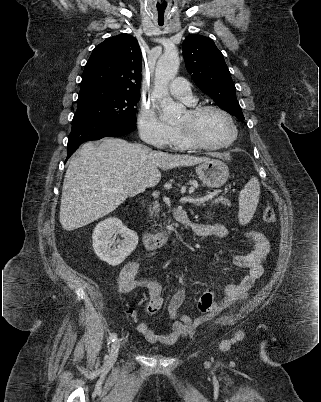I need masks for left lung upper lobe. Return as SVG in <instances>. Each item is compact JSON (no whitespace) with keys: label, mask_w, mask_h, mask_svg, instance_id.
<instances>
[{"label":"left lung upper lobe","mask_w":321,"mask_h":402,"mask_svg":"<svg viewBox=\"0 0 321 402\" xmlns=\"http://www.w3.org/2000/svg\"><path fill=\"white\" fill-rule=\"evenodd\" d=\"M186 68L197 86L217 105L236 116L245 118L236 98V88L222 53L213 40L191 34L182 44Z\"/></svg>","instance_id":"1"}]
</instances>
